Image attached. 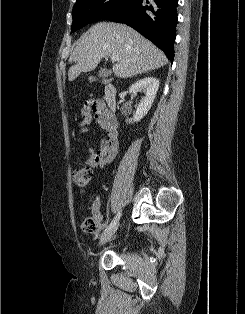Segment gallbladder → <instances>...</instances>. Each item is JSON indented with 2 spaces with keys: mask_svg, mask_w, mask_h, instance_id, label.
Returning a JSON list of instances; mask_svg holds the SVG:
<instances>
[{
  "mask_svg": "<svg viewBox=\"0 0 245 314\" xmlns=\"http://www.w3.org/2000/svg\"><path fill=\"white\" fill-rule=\"evenodd\" d=\"M111 74V71L108 70V69H100L99 72H98V76L99 77H102V78H106L108 77L109 75Z\"/></svg>",
  "mask_w": 245,
  "mask_h": 314,
  "instance_id": "gallbladder-1",
  "label": "gallbladder"
}]
</instances>
